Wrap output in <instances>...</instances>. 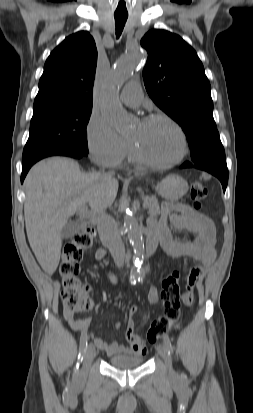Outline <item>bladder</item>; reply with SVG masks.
Masks as SVG:
<instances>
[{
	"instance_id": "31cf9c89",
	"label": "bladder",
	"mask_w": 253,
	"mask_h": 413,
	"mask_svg": "<svg viewBox=\"0 0 253 413\" xmlns=\"http://www.w3.org/2000/svg\"><path fill=\"white\" fill-rule=\"evenodd\" d=\"M143 358L138 355H118L109 359V364L118 369H132L140 366Z\"/></svg>"
}]
</instances>
